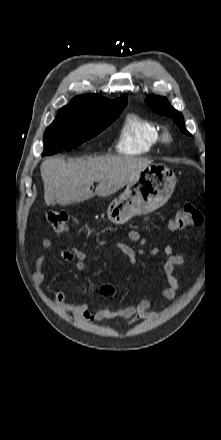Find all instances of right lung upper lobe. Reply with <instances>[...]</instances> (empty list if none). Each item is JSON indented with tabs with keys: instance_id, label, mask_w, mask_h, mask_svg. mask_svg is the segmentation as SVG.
I'll list each match as a JSON object with an SVG mask.
<instances>
[{
	"instance_id": "cb5924a9",
	"label": "right lung upper lobe",
	"mask_w": 221,
	"mask_h": 440,
	"mask_svg": "<svg viewBox=\"0 0 221 440\" xmlns=\"http://www.w3.org/2000/svg\"><path fill=\"white\" fill-rule=\"evenodd\" d=\"M127 104V95H123L116 100H108L97 94L81 95L73 98L71 102L61 109H76V110H92L104 108H121Z\"/></svg>"
}]
</instances>
